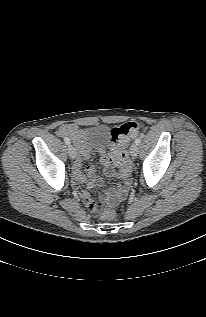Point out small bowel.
<instances>
[{"label": "small bowel", "instance_id": "c3829d8e", "mask_svg": "<svg viewBox=\"0 0 206 317\" xmlns=\"http://www.w3.org/2000/svg\"><path fill=\"white\" fill-rule=\"evenodd\" d=\"M58 133L60 136L70 137L77 145V159L73 165L75 187L82 201L88 208L92 210L96 203L90 196L89 192L81 188V185L85 184L87 187L101 185L102 180L98 176H96L95 167L92 164L88 165L86 168L87 176H85L81 171L82 161L84 159H87L90 155V152L86 148L83 141V133L75 124L62 125L58 129ZM101 164L103 165L106 174H114V169L111 166V162L106 156H102ZM128 185V180H125L120 184L118 190L115 192L116 199L121 200L125 197L128 190ZM106 194L109 195L110 193Z\"/></svg>", "mask_w": 206, "mask_h": 317}]
</instances>
